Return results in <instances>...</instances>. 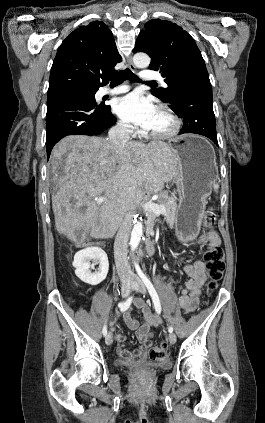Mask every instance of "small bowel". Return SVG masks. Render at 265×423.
Wrapping results in <instances>:
<instances>
[{
    "label": "small bowel",
    "mask_w": 265,
    "mask_h": 423,
    "mask_svg": "<svg viewBox=\"0 0 265 423\" xmlns=\"http://www.w3.org/2000/svg\"><path fill=\"white\" fill-rule=\"evenodd\" d=\"M197 243L207 242L209 245H219L220 237L213 231L208 230L201 234ZM185 273L189 279L184 285H178L177 291L179 294V304L187 312H193L198 307L199 298L202 292V286L206 280V266L202 260H195L184 267ZM172 282V281H171ZM136 311L138 318L132 315ZM123 319L129 329L136 330V337L140 347L135 350L125 348L126 337L122 333L115 335L118 344V354L128 362L143 359L147 356V352L151 347L152 327H158L161 324V319L156 314H153L145 302L138 298L135 300L133 306L124 312Z\"/></svg>",
    "instance_id": "small-bowel-1"
}]
</instances>
